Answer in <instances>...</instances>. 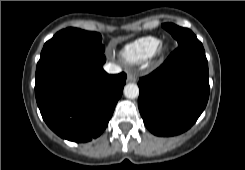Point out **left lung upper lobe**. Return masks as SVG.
<instances>
[{
  "mask_svg": "<svg viewBox=\"0 0 245 170\" xmlns=\"http://www.w3.org/2000/svg\"><path fill=\"white\" fill-rule=\"evenodd\" d=\"M162 27L171 33V35L177 40L179 46H189L202 50L204 49L202 43L197 39L191 30L179 27L172 23L162 24Z\"/></svg>",
  "mask_w": 245,
  "mask_h": 170,
  "instance_id": "5c2ea615",
  "label": "left lung upper lobe"
}]
</instances>
